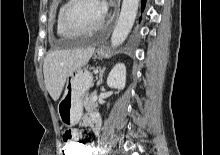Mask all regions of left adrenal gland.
<instances>
[{
  "mask_svg": "<svg viewBox=\"0 0 220 155\" xmlns=\"http://www.w3.org/2000/svg\"><path fill=\"white\" fill-rule=\"evenodd\" d=\"M105 71V67L104 68H99V81H98V86L102 84L103 82V73Z\"/></svg>",
  "mask_w": 220,
  "mask_h": 155,
  "instance_id": "1",
  "label": "left adrenal gland"
}]
</instances>
